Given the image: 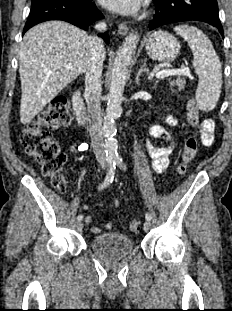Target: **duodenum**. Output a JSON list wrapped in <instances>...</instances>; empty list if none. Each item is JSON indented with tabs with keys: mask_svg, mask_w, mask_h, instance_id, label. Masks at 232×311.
Instances as JSON below:
<instances>
[{
	"mask_svg": "<svg viewBox=\"0 0 232 311\" xmlns=\"http://www.w3.org/2000/svg\"><path fill=\"white\" fill-rule=\"evenodd\" d=\"M72 104L73 109L76 115L77 120L81 124H85L87 121V111L86 106L84 104L83 98H82V89H77L72 96Z\"/></svg>",
	"mask_w": 232,
	"mask_h": 311,
	"instance_id": "1",
	"label": "duodenum"
}]
</instances>
